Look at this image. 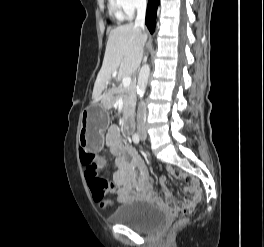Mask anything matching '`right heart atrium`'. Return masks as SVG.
<instances>
[{
  "label": "right heart atrium",
  "mask_w": 264,
  "mask_h": 247,
  "mask_svg": "<svg viewBox=\"0 0 264 247\" xmlns=\"http://www.w3.org/2000/svg\"><path fill=\"white\" fill-rule=\"evenodd\" d=\"M115 5L126 16H132L146 5V0H114Z\"/></svg>",
  "instance_id": "1"
}]
</instances>
